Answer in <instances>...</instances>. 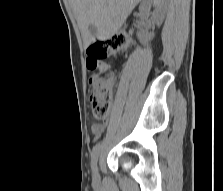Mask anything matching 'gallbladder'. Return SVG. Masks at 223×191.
<instances>
[{"mask_svg":"<svg viewBox=\"0 0 223 191\" xmlns=\"http://www.w3.org/2000/svg\"><path fill=\"white\" fill-rule=\"evenodd\" d=\"M89 31L92 35H95L96 33V27L94 25H89Z\"/></svg>","mask_w":223,"mask_h":191,"instance_id":"bac80fb5","label":"gallbladder"}]
</instances>
